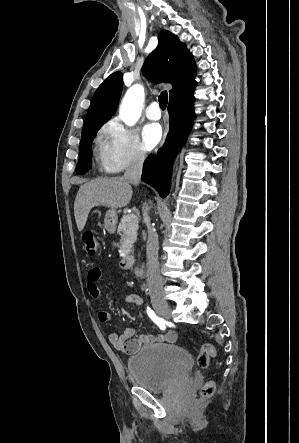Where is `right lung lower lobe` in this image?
<instances>
[{
    "label": "right lung lower lobe",
    "mask_w": 299,
    "mask_h": 443,
    "mask_svg": "<svg viewBox=\"0 0 299 443\" xmlns=\"http://www.w3.org/2000/svg\"><path fill=\"white\" fill-rule=\"evenodd\" d=\"M195 86L194 81L170 96L168 138L157 154L149 155L143 165L141 180L154 187L163 198L169 192L172 162L192 126Z\"/></svg>",
    "instance_id": "obj_1"
}]
</instances>
